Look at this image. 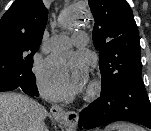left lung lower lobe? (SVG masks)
Wrapping results in <instances>:
<instances>
[{"label":"left lung lower lobe","instance_id":"obj_1","mask_svg":"<svg viewBox=\"0 0 151 131\" xmlns=\"http://www.w3.org/2000/svg\"><path fill=\"white\" fill-rule=\"evenodd\" d=\"M130 121L151 129V103L141 74H133L79 113V128L92 129L110 122Z\"/></svg>","mask_w":151,"mask_h":131}]
</instances>
